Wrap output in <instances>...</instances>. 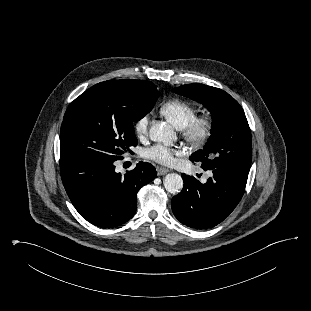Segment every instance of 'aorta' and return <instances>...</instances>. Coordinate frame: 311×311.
Instances as JSON below:
<instances>
[{"label": "aorta", "instance_id": "obj_1", "mask_svg": "<svg viewBox=\"0 0 311 311\" xmlns=\"http://www.w3.org/2000/svg\"><path fill=\"white\" fill-rule=\"evenodd\" d=\"M150 139L154 142H161L170 145L176 140V134L172 127L165 122H156L149 130ZM166 191L171 194L179 193L183 188V179L176 173H169L163 180Z\"/></svg>", "mask_w": 311, "mask_h": 311}]
</instances>
